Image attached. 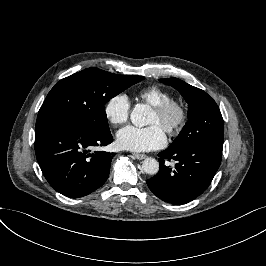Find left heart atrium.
<instances>
[{"label": "left heart atrium", "mask_w": 266, "mask_h": 266, "mask_svg": "<svg viewBox=\"0 0 266 266\" xmlns=\"http://www.w3.org/2000/svg\"><path fill=\"white\" fill-rule=\"evenodd\" d=\"M117 141L124 149L149 151L162 147L166 143V134L158 124L145 127L129 125L118 131Z\"/></svg>", "instance_id": "left-heart-atrium-1"}]
</instances>
